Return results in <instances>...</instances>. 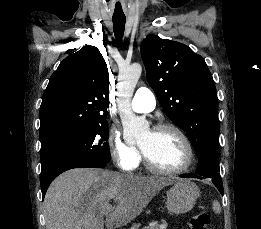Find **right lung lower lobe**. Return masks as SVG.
Segmentation results:
<instances>
[{
  "mask_svg": "<svg viewBox=\"0 0 261 229\" xmlns=\"http://www.w3.org/2000/svg\"><path fill=\"white\" fill-rule=\"evenodd\" d=\"M104 168L105 163L101 162H83L69 165H61L48 168L44 171H41L40 183H41V191L42 197H45V193L50 185V183L61 173L67 171L72 168Z\"/></svg>",
  "mask_w": 261,
  "mask_h": 229,
  "instance_id": "98d812e1",
  "label": "right lung lower lobe"
}]
</instances>
